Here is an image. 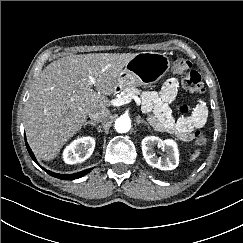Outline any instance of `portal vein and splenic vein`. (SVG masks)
I'll use <instances>...</instances> for the list:
<instances>
[{
	"instance_id": "1",
	"label": "portal vein and splenic vein",
	"mask_w": 243,
	"mask_h": 243,
	"mask_svg": "<svg viewBox=\"0 0 243 243\" xmlns=\"http://www.w3.org/2000/svg\"><path fill=\"white\" fill-rule=\"evenodd\" d=\"M91 84H95L94 78L90 77ZM132 99L135 100L136 104L140 106L141 100L137 95H129V96H123L121 98H117L111 101V105L113 106H121L124 104H128Z\"/></svg>"
}]
</instances>
